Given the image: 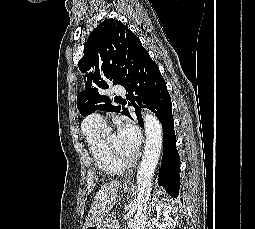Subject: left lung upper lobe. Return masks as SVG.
I'll return each mask as SVG.
<instances>
[{"label":"left lung upper lobe","instance_id":"left-lung-upper-lobe-1","mask_svg":"<svg viewBox=\"0 0 255 229\" xmlns=\"http://www.w3.org/2000/svg\"><path fill=\"white\" fill-rule=\"evenodd\" d=\"M146 51L139 38L122 22L106 19L100 23L91 32L79 61V69L85 74V90L77 96L81 115L96 110L120 112L121 107L112 106L111 100L99 91L107 89L109 83L124 86ZM100 60L103 61L101 69Z\"/></svg>","mask_w":255,"mask_h":229}]
</instances>
